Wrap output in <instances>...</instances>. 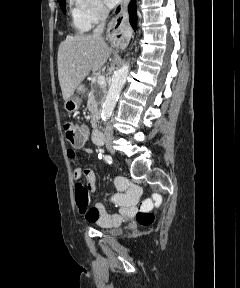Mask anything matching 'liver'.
<instances>
[{"label":"liver","instance_id":"6515ba94","mask_svg":"<svg viewBox=\"0 0 240 288\" xmlns=\"http://www.w3.org/2000/svg\"><path fill=\"white\" fill-rule=\"evenodd\" d=\"M112 53L103 39L92 35L68 36L58 49V78L62 96L67 101L90 73L97 72Z\"/></svg>","mask_w":240,"mask_h":288}]
</instances>
